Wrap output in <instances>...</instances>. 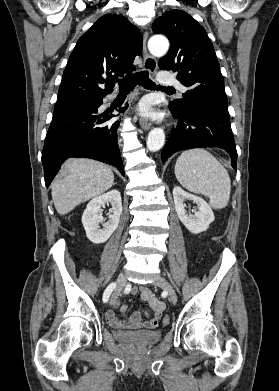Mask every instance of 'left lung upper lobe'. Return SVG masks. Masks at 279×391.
<instances>
[{
  "instance_id": "5c2ea615",
  "label": "left lung upper lobe",
  "mask_w": 279,
  "mask_h": 391,
  "mask_svg": "<svg viewBox=\"0 0 279 391\" xmlns=\"http://www.w3.org/2000/svg\"><path fill=\"white\" fill-rule=\"evenodd\" d=\"M152 30L166 35L171 43L159 61L160 69L178 72L177 79L188 88L182 99L172 103L185 107L199 102L229 114L224 79L205 29L188 13L172 10L157 18Z\"/></svg>"
}]
</instances>
